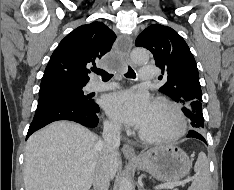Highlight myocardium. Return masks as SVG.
Listing matches in <instances>:
<instances>
[{"label": "myocardium", "instance_id": "f54148a6", "mask_svg": "<svg viewBox=\"0 0 234 190\" xmlns=\"http://www.w3.org/2000/svg\"><path fill=\"white\" fill-rule=\"evenodd\" d=\"M153 104L160 105L173 114L177 123L176 128L171 132L161 134H147L140 130L138 133L139 137L147 143L167 142L181 138L187 130V122L180 107L165 97L155 98Z\"/></svg>", "mask_w": 234, "mask_h": 190}]
</instances>
